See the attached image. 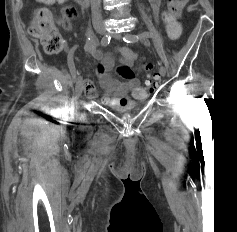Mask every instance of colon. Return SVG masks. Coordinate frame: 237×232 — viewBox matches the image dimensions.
<instances>
[{
    "instance_id": "obj_1",
    "label": "colon",
    "mask_w": 237,
    "mask_h": 232,
    "mask_svg": "<svg viewBox=\"0 0 237 232\" xmlns=\"http://www.w3.org/2000/svg\"><path fill=\"white\" fill-rule=\"evenodd\" d=\"M45 5H53L55 3H62L65 0H37ZM63 14L67 19H74L76 17V10L73 7H66ZM161 18L166 25L168 35L171 39L176 40L181 36V26L177 21V17L168 11L161 13ZM29 34L39 39L45 52L49 55L58 54L63 48V39L56 29L54 18L51 11L47 7H38L33 10L30 24L28 27ZM140 69L150 71L152 65L146 62L141 64ZM157 76H153L145 81V88L151 90L157 84Z\"/></svg>"
}]
</instances>
